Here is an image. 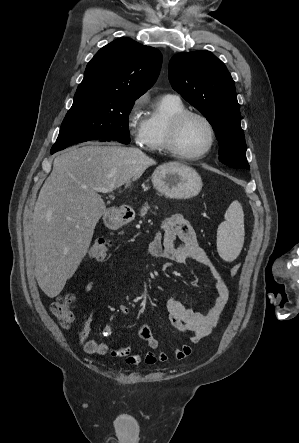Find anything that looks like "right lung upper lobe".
<instances>
[{
    "label": "right lung upper lobe",
    "mask_w": 299,
    "mask_h": 443,
    "mask_svg": "<svg viewBox=\"0 0 299 443\" xmlns=\"http://www.w3.org/2000/svg\"><path fill=\"white\" fill-rule=\"evenodd\" d=\"M161 53L129 38H119L101 48L89 61L76 93L102 92L138 99L156 81Z\"/></svg>",
    "instance_id": "cb5924a9"
}]
</instances>
